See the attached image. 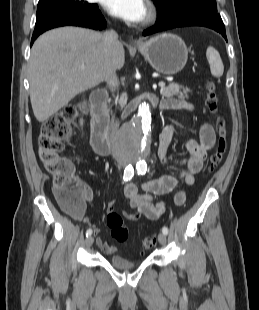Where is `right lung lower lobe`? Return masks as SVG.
Segmentation results:
<instances>
[{
	"mask_svg": "<svg viewBox=\"0 0 259 310\" xmlns=\"http://www.w3.org/2000/svg\"><path fill=\"white\" fill-rule=\"evenodd\" d=\"M65 25L81 26L92 29H103L106 27V22L97 5L92 10L79 15L53 16L44 20L40 24L35 25L33 36L31 39V45L43 32L55 27Z\"/></svg>",
	"mask_w": 259,
	"mask_h": 310,
	"instance_id": "obj_1",
	"label": "right lung lower lobe"
}]
</instances>
